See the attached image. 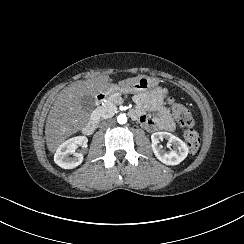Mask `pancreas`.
I'll list each match as a JSON object with an SVG mask.
<instances>
[{"instance_id": "pancreas-1", "label": "pancreas", "mask_w": 244, "mask_h": 244, "mask_svg": "<svg viewBox=\"0 0 244 244\" xmlns=\"http://www.w3.org/2000/svg\"><path fill=\"white\" fill-rule=\"evenodd\" d=\"M114 101V97H109L104 105L100 107V109H102L104 112H108L112 107H115Z\"/></svg>"}]
</instances>
